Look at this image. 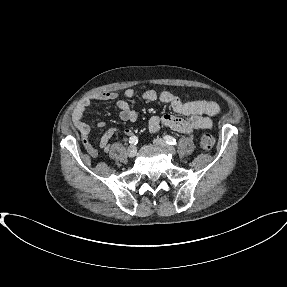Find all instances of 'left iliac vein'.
Here are the masks:
<instances>
[{"label": "left iliac vein", "instance_id": "1", "mask_svg": "<svg viewBox=\"0 0 287 287\" xmlns=\"http://www.w3.org/2000/svg\"><path fill=\"white\" fill-rule=\"evenodd\" d=\"M153 143L156 146L162 147L167 149L172 155L176 153L175 148L173 146L168 145L163 139L161 138H156L153 140Z\"/></svg>", "mask_w": 287, "mask_h": 287}]
</instances>
